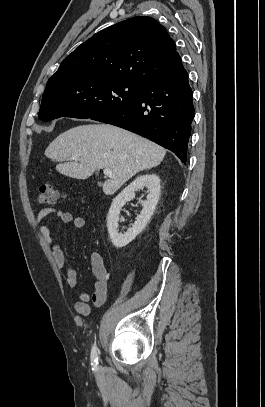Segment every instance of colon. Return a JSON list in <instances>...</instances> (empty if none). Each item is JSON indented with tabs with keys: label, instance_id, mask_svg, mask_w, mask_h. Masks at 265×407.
I'll return each mask as SVG.
<instances>
[{
	"label": "colon",
	"instance_id": "1",
	"mask_svg": "<svg viewBox=\"0 0 265 407\" xmlns=\"http://www.w3.org/2000/svg\"><path fill=\"white\" fill-rule=\"evenodd\" d=\"M63 193L51 184H42L38 188V203L41 205H50L62 198Z\"/></svg>",
	"mask_w": 265,
	"mask_h": 407
}]
</instances>
